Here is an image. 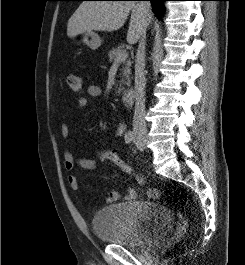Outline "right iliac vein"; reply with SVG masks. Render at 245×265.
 I'll list each match as a JSON object with an SVG mask.
<instances>
[{
	"label": "right iliac vein",
	"instance_id": "63e3f726",
	"mask_svg": "<svg viewBox=\"0 0 245 265\" xmlns=\"http://www.w3.org/2000/svg\"><path fill=\"white\" fill-rule=\"evenodd\" d=\"M136 145L137 147H139L140 149H144L146 146V140L143 138H138L136 139Z\"/></svg>",
	"mask_w": 245,
	"mask_h": 265
}]
</instances>
